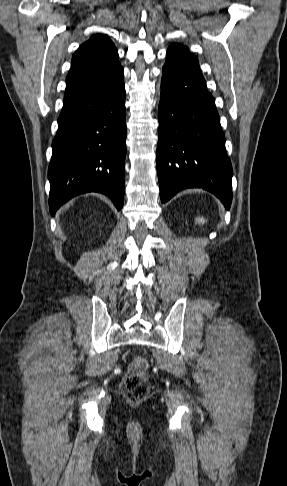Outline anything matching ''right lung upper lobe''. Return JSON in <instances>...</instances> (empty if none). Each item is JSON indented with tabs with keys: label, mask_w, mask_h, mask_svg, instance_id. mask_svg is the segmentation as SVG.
<instances>
[{
	"label": "right lung upper lobe",
	"mask_w": 287,
	"mask_h": 486,
	"mask_svg": "<svg viewBox=\"0 0 287 486\" xmlns=\"http://www.w3.org/2000/svg\"><path fill=\"white\" fill-rule=\"evenodd\" d=\"M66 78L64 101L91 89L110 84L123 76L118 52L105 35L92 36L73 54Z\"/></svg>",
	"instance_id": "right-lung-upper-lobe-1"
}]
</instances>
